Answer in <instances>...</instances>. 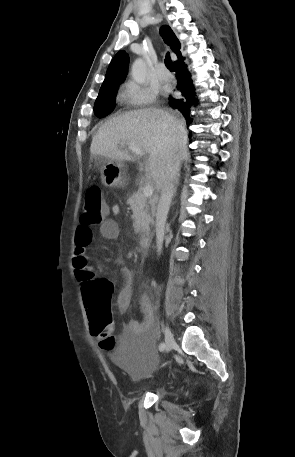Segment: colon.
Masks as SVG:
<instances>
[{
	"instance_id": "1",
	"label": "colon",
	"mask_w": 295,
	"mask_h": 457,
	"mask_svg": "<svg viewBox=\"0 0 295 457\" xmlns=\"http://www.w3.org/2000/svg\"><path fill=\"white\" fill-rule=\"evenodd\" d=\"M106 205L100 187H90L85 195V204L80 214V224L84 227L101 225L107 218ZM75 273L83 282L82 298L90 324L91 333L98 337L100 346L113 357L121 356V345L115 344L111 336V297L112 286L96 279L84 253H78L73 260Z\"/></svg>"
}]
</instances>
